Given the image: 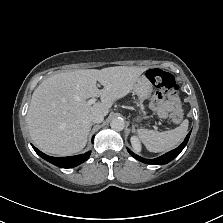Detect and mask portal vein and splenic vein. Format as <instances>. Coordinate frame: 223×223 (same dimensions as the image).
Listing matches in <instances>:
<instances>
[{
	"mask_svg": "<svg viewBox=\"0 0 223 223\" xmlns=\"http://www.w3.org/2000/svg\"><path fill=\"white\" fill-rule=\"evenodd\" d=\"M95 102H96V99H95V98H92V99L88 100L87 104H88V105H92V104H94ZM153 129H154V130H157V129H158V126H157V125H154V126H153Z\"/></svg>",
	"mask_w": 223,
	"mask_h": 223,
	"instance_id": "portal-vein-and-splenic-vein-1",
	"label": "portal vein and splenic vein"
}]
</instances>
